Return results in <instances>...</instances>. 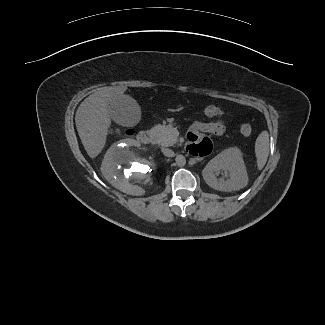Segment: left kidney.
Wrapping results in <instances>:
<instances>
[{
  "mask_svg": "<svg viewBox=\"0 0 325 325\" xmlns=\"http://www.w3.org/2000/svg\"><path fill=\"white\" fill-rule=\"evenodd\" d=\"M220 171L229 173L227 179L217 178ZM205 182L219 191H235L244 188L248 183L246 167L241 151L228 148L211 159L202 171Z\"/></svg>",
  "mask_w": 325,
  "mask_h": 325,
  "instance_id": "5707ae66",
  "label": "left kidney"
}]
</instances>
